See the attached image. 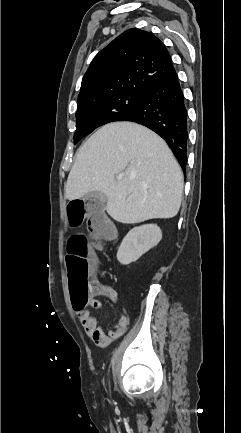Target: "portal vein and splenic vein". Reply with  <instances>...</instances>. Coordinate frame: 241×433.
Instances as JSON below:
<instances>
[{
    "instance_id": "portal-vein-and-splenic-vein-1",
    "label": "portal vein and splenic vein",
    "mask_w": 241,
    "mask_h": 433,
    "mask_svg": "<svg viewBox=\"0 0 241 433\" xmlns=\"http://www.w3.org/2000/svg\"><path fill=\"white\" fill-rule=\"evenodd\" d=\"M122 179L121 176H117V180L120 181Z\"/></svg>"
}]
</instances>
